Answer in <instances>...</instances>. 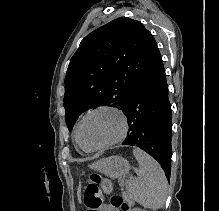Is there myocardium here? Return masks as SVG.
I'll return each instance as SVG.
<instances>
[{
  "label": "myocardium",
  "instance_id": "myocardium-1",
  "mask_svg": "<svg viewBox=\"0 0 219 211\" xmlns=\"http://www.w3.org/2000/svg\"><path fill=\"white\" fill-rule=\"evenodd\" d=\"M99 111H110V112H113L116 115H118L120 120H121V129H120L119 134L116 137H114L113 139H111L110 141H108L102 145L96 146V147L88 148L83 144L82 139H81L82 125L89 115L96 113V112H99ZM127 130H128V117L120 108H118L116 106H112V105H99V106H96V107L88 110L80 119L78 126H77V139H78V143L84 149H86L88 151H97V150L106 149V148H108L112 145H115L118 142L122 141L126 136Z\"/></svg>",
  "mask_w": 219,
  "mask_h": 211
}]
</instances>
